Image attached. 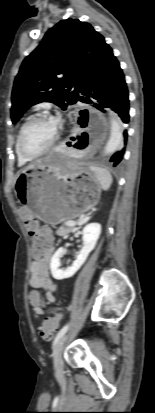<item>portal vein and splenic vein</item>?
Returning <instances> with one entry per match:
<instances>
[{"mask_svg":"<svg viewBox=\"0 0 155 413\" xmlns=\"http://www.w3.org/2000/svg\"><path fill=\"white\" fill-rule=\"evenodd\" d=\"M86 220H87V219L84 218V219H81L79 222H80V223H83V222H85ZM68 225L73 226V225H75V222L70 221V222H68Z\"/></svg>","mask_w":155,"mask_h":413,"instance_id":"1","label":"portal vein and splenic vein"}]
</instances>
